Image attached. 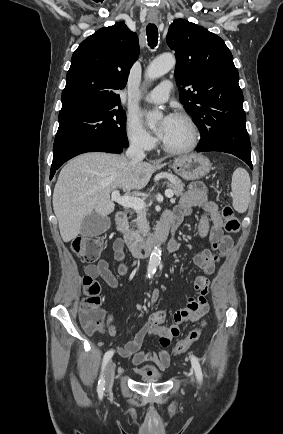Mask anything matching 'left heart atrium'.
Returning a JSON list of instances; mask_svg holds the SVG:
<instances>
[{
	"label": "left heart atrium",
	"mask_w": 283,
	"mask_h": 434,
	"mask_svg": "<svg viewBox=\"0 0 283 434\" xmlns=\"http://www.w3.org/2000/svg\"><path fill=\"white\" fill-rule=\"evenodd\" d=\"M174 119H175V116H173V115H167L161 121V123H160V125H159V127L157 129V135L162 140H164L167 137V135L169 134V132H170L172 126H173Z\"/></svg>",
	"instance_id": "1"
}]
</instances>
